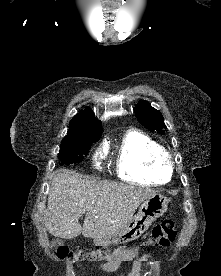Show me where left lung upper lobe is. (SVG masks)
<instances>
[{"label":"left lung upper lobe","instance_id":"5c2ea615","mask_svg":"<svg viewBox=\"0 0 221 276\" xmlns=\"http://www.w3.org/2000/svg\"><path fill=\"white\" fill-rule=\"evenodd\" d=\"M135 115L138 121L149 131H157L163 134L166 128L160 111L151 107L147 101H141L135 106Z\"/></svg>","mask_w":221,"mask_h":276}]
</instances>
